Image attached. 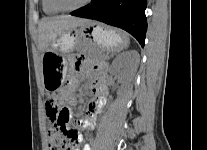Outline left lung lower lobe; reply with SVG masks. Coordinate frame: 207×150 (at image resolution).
<instances>
[{"mask_svg":"<svg viewBox=\"0 0 207 150\" xmlns=\"http://www.w3.org/2000/svg\"><path fill=\"white\" fill-rule=\"evenodd\" d=\"M146 4L147 0H94L71 14L122 28L143 47L147 31Z\"/></svg>","mask_w":207,"mask_h":150,"instance_id":"left-lung-lower-lobe-1","label":"left lung lower lobe"}]
</instances>
